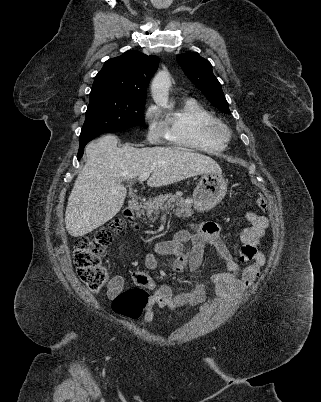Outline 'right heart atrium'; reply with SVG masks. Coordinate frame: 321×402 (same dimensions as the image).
<instances>
[{
    "label": "right heart atrium",
    "instance_id": "right-heart-atrium-1",
    "mask_svg": "<svg viewBox=\"0 0 321 402\" xmlns=\"http://www.w3.org/2000/svg\"><path fill=\"white\" fill-rule=\"evenodd\" d=\"M160 110L156 105H149L144 111V121L148 125L147 137L152 142H157L162 137V128L158 124Z\"/></svg>",
    "mask_w": 321,
    "mask_h": 402
}]
</instances>
